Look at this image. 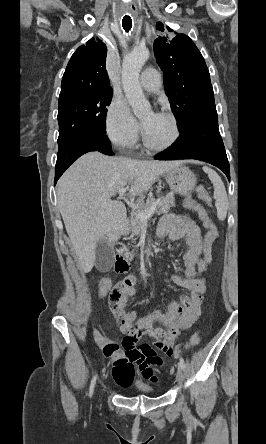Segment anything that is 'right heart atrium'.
Returning <instances> with one entry per match:
<instances>
[{
	"label": "right heart atrium",
	"instance_id": "obj_1",
	"mask_svg": "<svg viewBox=\"0 0 266 444\" xmlns=\"http://www.w3.org/2000/svg\"><path fill=\"white\" fill-rule=\"evenodd\" d=\"M105 130L110 141L118 148H129L137 142L140 127L124 99H112L105 116Z\"/></svg>",
	"mask_w": 266,
	"mask_h": 444
}]
</instances>
